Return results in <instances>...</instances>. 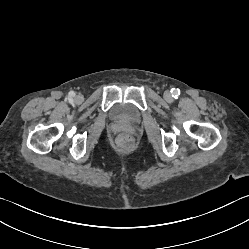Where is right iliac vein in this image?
<instances>
[{"label": "right iliac vein", "instance_id": "right-iliac-vein-1", "mask_svg": "<svg viewBox=\"0 0 249 249\" xmlns=\"http://www.w3.org/2000/svg\"><path fill=\"white\" fill-rule=\"evenodd\" d=\"M82 100H83V98H82L81 95H78V96L75 97V101H76L77 103L82 102Z\"/></svg>", "mask_w": 249, "mask_h": 249}]
</instances>
